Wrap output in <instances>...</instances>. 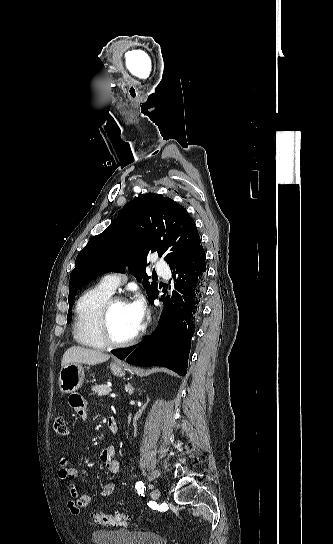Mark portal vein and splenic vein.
<instances>
[{"label": "portal vein and splenic vein", "instance_id": "1", "mask_svg": "<svg viewBox=\"0 0 333 544\" xmlns=\"http://www.w3.org/2000/svg\"><path fill=\"white\" fill-rule=\"evenodd\" d=\"M110 397H111V398H115V397H116V394H115V393H111Z\"/></svg>", "mask_w": 333, "mask_h": 544}]
</instances>
